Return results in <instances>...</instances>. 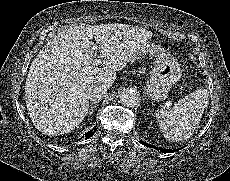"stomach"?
<instances>
[{"label":"stomach","instance_id":"1","mask_svg":"<svg viewBox=\"0 0 230 181\" xmlns=\"http://www.w3.org/2000/svg\"><path fill=\"white\" fill-rule=\"evenodd\" d=\"M178 79V63L170 54L162 52L150 73L149 80L144 85V92L153 101H163Z\"/></svg>","mask_w":230,"mask_h":181}]
</instances>
